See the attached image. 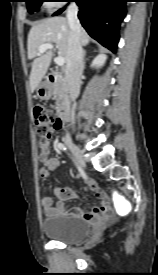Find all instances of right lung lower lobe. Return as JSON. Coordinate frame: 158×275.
<instances>
[{
    "mask_svg": "<svg viewBox=\"0 0 158 275\" xmlns=\"http://www.w3.org/2000/svg\"><path fill=\"white\" fill-rule=\"evenodd\" d=\"M75 1L80 11L78 17L89 35L104 47L116 51L119 26L126 15L127 0H68ZM64 8L55 12L62 13Z\"/></svg>",
    "mask_w": 158,
    "mask_h": 275,
    "instance_id": "right-lung-lower-lobe-1",
    "label": "right lung lower lobe"
}]
</instances>
